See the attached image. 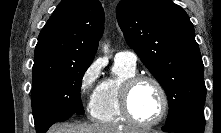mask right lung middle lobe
Returning <instances> with one entry per match:
<instances>
[{
    "mask_svg": "<svg viewBox=\"0 0 221 133\" xmlns=\"http://www.w3.org/2000/svg\"><path fill=\"white\" fill-rule=\"evenodd\" d=\"M91 63H75L33 72L31 101L35 125L47 120L65 121L73 114H84L80 89L83 75Z\"/></svg>",
    "mask_w": 221,
    "mask_h": 133,
    "instance_id": "right-lung-middle-lobe-1",
    "label": "right lung middle lobe"
}]
</instances>
